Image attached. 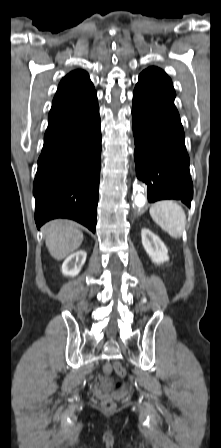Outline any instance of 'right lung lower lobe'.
Masks as SVG:
<instances>
[{
	"label": "right lung lower lobe",
	"mask_w": 221,
	"mask_h": 448,
	"mask_svg": "<svg viewBox=\"0 0 221 448\" xmlns=\"http://www.w3.org/2000/svg\"><path fill=\"white\" fill-rule=\"evenodd\" d=\"M96 92L49 117L33 184L35 222L73 219L95 233L101 162Z\"/></svg>",
	"instance_id": "1"
}]
</instances>
